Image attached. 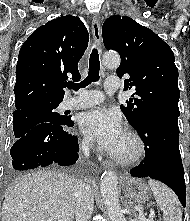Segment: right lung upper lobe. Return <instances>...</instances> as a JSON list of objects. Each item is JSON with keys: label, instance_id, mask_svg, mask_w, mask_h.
Segmentation results:
<instances>
[{"label": "right lung upper lobe", "instance_id": "right-lung-upper-lobe-1", "mask_svg": "<svg viewBox=\"0 0 190 221\" xmlns=\"http://www.w3.org/2000/svg\"><path fill=\"white\" fill-rule=\"evenodd\" d=\"M88 41L87 28L72 15L58 17L36 29L19 52L13 114L37 105L60 103L69 76L81 78L78 62Z\"/></svg>", "mask_w": 190, "mask_h": 221}]
</instances>
